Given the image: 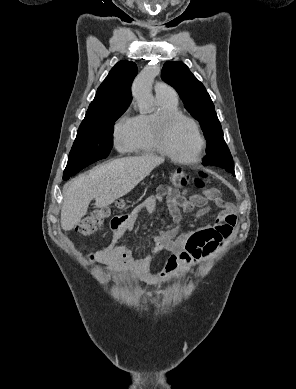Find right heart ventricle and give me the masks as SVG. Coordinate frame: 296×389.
I'll return each mask as SVG.
<instances>
[{
  "instance_id": "e07e8e85",
  "label": "right heart ventricle",
  "mask_w": 296,
  "mask_h": 389,
  "mask_svg": "<svg viewBox=\"0 0 296 389\" xmlns=\"http://www.w3.org/2000/svg\"><path fill=\"white\" fill-rule=\"evenodd\" d=\"M158 110L153 114H139L133 117L132 135L128 150L135 154H159L154 137V123L165 112L179 111L177 97L156 95Z\"/></svg>"
}]
</instances>
